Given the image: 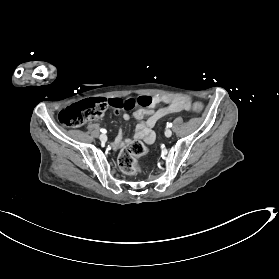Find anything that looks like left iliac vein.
Returning a JSON list of instances; mask_svg holds the SVG:
<instances>
[{"mask_svg": "<svg viewBox=\"0 0 279 279\" xmlns=\"http://www.w3.org/2000/svg\"><path fill=\"white\" fill-rule=\"evenodd\" d=\"M171 135H172V131L170 129H166L165 136L166 137H171Z\"/></svg>", "mask_w": 279, "mask_h": 279, "instance_id": "1", "label": "left iliac vein"}]
</instances>
